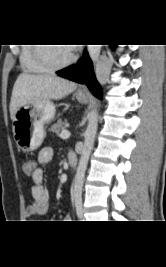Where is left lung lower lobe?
Here are the masks:
<instances>
[{"instance_id": "obj_1", "label": "left lung lower lobe", "mask_w": 166, "mask_h": 267, "mask_svg": "<svg viewBox=\"0 0 166 267\" xmlns=\"http://www.w3.org/2000/svg\"><path fill=\"white\" fill-rule=\"evenodd\" d=\"M83 56L84 58L81 59L79 64L64 68L56 73L61 77L85 84L96 97L101 98V90L95 79L92 63L86 51H84Z\"/></svg>"}]
</instances>
